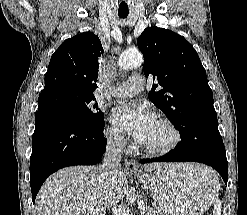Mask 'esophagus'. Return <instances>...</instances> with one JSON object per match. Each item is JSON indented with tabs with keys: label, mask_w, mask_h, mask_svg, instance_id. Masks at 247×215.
I'll return each mask as SVG.
<instances>
[{
	"label": "esophagus",
	"mask_w": 247,
	"mask_h": 215,
	"mask_svg": "<svg viewBox=\"0 0 247 215\" xmlns=\"http://www.w3.org/2000/svg\"><path fill=\"white\" fill-rule=\"evenodd\" d=\"M125 165H126L127 170L130 172H138L139 171V165L133 160L126 161Z\"/></svg>",
	"instance_id": "1"
}]
</instances>
